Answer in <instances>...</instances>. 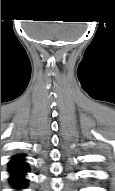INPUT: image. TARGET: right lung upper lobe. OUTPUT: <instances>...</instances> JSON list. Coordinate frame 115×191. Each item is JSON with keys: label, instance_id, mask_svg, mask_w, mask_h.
I'll return each instance as SVG.
<instances>
[{"label": "right lung upper lobe", "instance_id": "obj_1", "mask_svg": "<svg viewBox=\"0 0 115 191\" xmlns=\"http://www.w3.org/2000/svg\"><path fill=\"white\" fill-rule=\"evenodd\" d=\"M9 167L10 171L28 169L26 163L24 162L23 155L14 156L13 159L9 162Z\"/></svg>", "mask_w": 115, "mask_h": 191}]
</instances>
